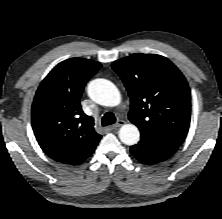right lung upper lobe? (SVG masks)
<instances>
[{
  "label": "right lung upper lobe",
  "mask_w": 222,
  "mask_h": 219,
  "mask_svg": "<svg viewBox=\"0 0 222 219\" xmlns=\"http://www.w3.org/2000/svg\"><path fill=\"white\" fill-rule=\"evenodd\" d=\"M101 68L96 61L71 58L56 65L37 89L31 111L38 144L53 160L77 165L88 158L101 135L81 108L88 80Z\"/></svg>",
  "instance_id": "right-lung-upper-lobe-1"
}]
</instances>
